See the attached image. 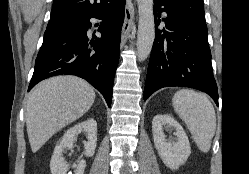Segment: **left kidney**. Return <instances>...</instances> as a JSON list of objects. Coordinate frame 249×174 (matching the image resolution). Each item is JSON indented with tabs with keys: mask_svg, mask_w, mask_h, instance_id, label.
<instances>
[{
	"mask_svg": "<svg viewBox=\"0 0 249 174\" xmlns=\"http://www.w3.org/2000/svg\"><path fill=\"white\" fill-rule=\"evenodd\" d=\"M175 129L176 141H167L163 132L164 127ZM152 133L155 148L163 163L170 169L176 170L188 159L191 148L183 127L170 115H156L152 121Z\"/></svg>",
	"mask_w": 249,
	"mask_h": 174,
	"instance_id": "1",
	"label": "left kidney"
}]
</instances>
